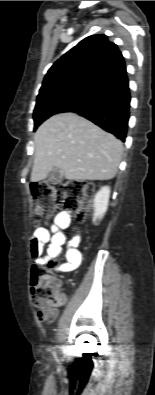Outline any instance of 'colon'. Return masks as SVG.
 <instances>
[{
  "mask_svg": "<svg viewBox=\"0 0 155 395\" xmlns=\"http://www.w3.org/2000/svg\"><path fill=\"white\" fill-rule=\"evenodd\" d=\"M33 216L36 222L49 218L60 206L72 213L78 221H83L89 211L94 185L83 180L39 182L31 186ZM75 235L79 234L74 229ZM45 266H34L31 270V297L34 306L41 310L55 309L64 302L58 290V280L53 272L58 268L55 260H45Z\"/></svg>",
  "mask_w": 155,
  "mask_h": 395,
  "instance_id": "obj_1",
  "label": "colon"
}]
</instances>
